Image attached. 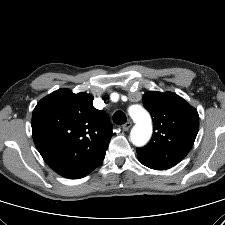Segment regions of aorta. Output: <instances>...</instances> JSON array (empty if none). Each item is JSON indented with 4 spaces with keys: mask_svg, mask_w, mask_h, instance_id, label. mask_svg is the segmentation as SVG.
<instances>
[{
    "mask_svg": "<svg viewBox=\"0 0 225 225\" xmlns=\"http://www.w3.org/2000/svg\"><path fill=\"white\" fill-rule=\"evenodd\" d=\"M129 115L135 122L130 139L135 146L145 145L152 135V122L149 113L141 106H131L129 108Z\"/></svg>",
    "mask_w": 225,
    "mask_h": 225,
    "instance_id": "1",
    "label": "aorta"
}]
</instances>
